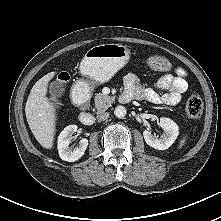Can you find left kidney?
<instances>
[{
    "label": "left kidney",
    "instance_id": "left-kidney-1",
    "mask_svg": "<svg viewBox=\"0 0 221 221\" xmlns=\"http://www.w3.org/2000/svg\"><path fill=\"white\" fill-rule=\"evenodd\" d=\"M159 126L164 130V134L161 138L152 135L148 129L143 131V136L149 146L157 150H165L175 142L179 134V128L178 125L169 118H161Z\"/></svg>",
    "mask_w": 221,
    "mask_h": 221
}]
</instances>
